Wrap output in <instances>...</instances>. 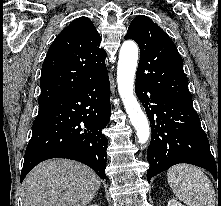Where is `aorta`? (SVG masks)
<instances>
[{
	"label": "aorta",
	"instance_id": "1",
	"mask_svg": "<svg viewBox=\"0 0 221 206\" xmlns=\"http://www.w3.org/2000/svg\"><path fill=\"white\" fill-rule=\"evenodd\" d=\"M137 60L138 46L133 41H125L121 46L118 61V91L129 119L136 130L139 143L145 144L150 136V127L133 91Z\"/></svg>",
	"mask_w": 221,
	"mask_h": 206
}]
</instances>
